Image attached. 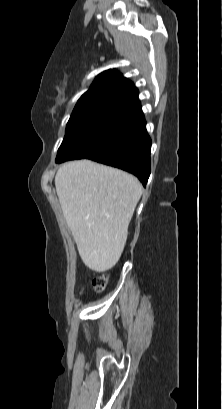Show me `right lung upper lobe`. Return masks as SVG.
Listing matches in <instances>:
<instances>
[{"mask_svg":"<svg viewBox=\"0 0 222 409\" xmlns=\"http://www.w3.org/2000/svg\"><path fill=\"white\" fill-rule=\"evenodd\" d=\"M138 90L117 70L99 74L89 90L78 100L74 109L99 106H122L127 110L139 106Z\"/></svg>","mask_w":222,"mask_h":409,"instance_id":"obj_1","label":"right lung upper lobe"}]
</instances>
